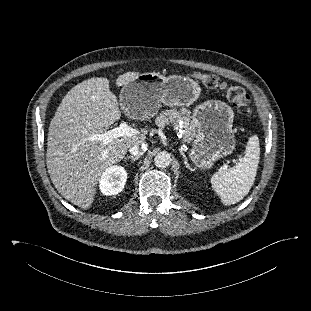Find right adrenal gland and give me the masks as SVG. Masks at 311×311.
Instances as JSON below:
<instances>
[{"label": "right adrenal gland", "mask_w": 311, "mask_h": 311, "mask_svg": "<svg viewBox=\"0 0 311 311\" xmlns=\"http://www.w3.org/2000/svg\"><path fill=\"white\" fill-rule=\"evenodd\" d=\"M139 156H127L124 158V161L131 159L133 162L139 160Z\"/></svg>", "instance_id": "right-adrenal-gland-1"}]
</instances>
